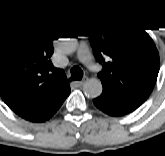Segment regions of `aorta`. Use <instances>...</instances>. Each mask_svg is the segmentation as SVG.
Returning a JSON list of instances; mask_svg holds the SVG:
<instances>
[{
	"mask_svg": "<svg viewBox=\"0 0 165 156\" xmlns=\"http://www.w3.org/2000/svg\"><path fill=\"white\" fill-rule=\"evenodd\" d=\"M60 48L65 53H73L78 48V43L75 38L60 39ZM103 87L99 79L92 78L85 82L83 86L84 94L89 98H96L102 93Z\"/></svg>",
	"mask_w": 165,
	"mask_h": 156,
	"instance_id": "762f6f07",
	"label": "aorta"
}]
</instances>
